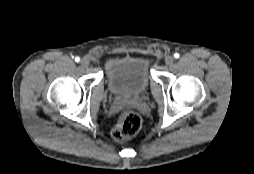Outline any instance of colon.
<instances>
[{
    "instance_id": "colon-1",
    "label": "colon",
    "mask_w": 254,
    "mask_h": 174,
    "mask_svg": "<svg viewBox=\"0 0 254 174\" xmlns=\"http://www.w3.org/2000/svg\"><path fill=\"white\" fill-rule=\"evenodd\" d=\"M142 127L140 116L131 110L124 111L119 119V122L112 131L113 138L116 141L122 142L135 136Z\"/></svg>"
}]
</instances>
